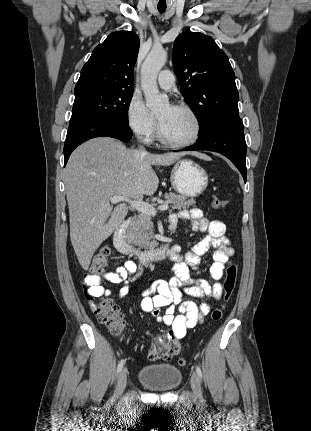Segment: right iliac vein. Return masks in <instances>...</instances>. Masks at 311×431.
Here are the masks:
<instances>
[{
  "label": "right iliac vein",
  "instance_id": "right-iliac-vein-1",
  "mask_svg": "<svg viewBox=\"0 0 311 431\" xmlns=\"http://www.w3.org/2000/svg\"><path fill=\"white\" fill-rule=\"evenodd\" d=\"M126 383H127V368H124L121 371L119 378H118V381H117V386H116V390H115V397L116 398H119L122 395V393L126 387Z\"/></svg>",
  "mask_w": 311,
  "mask_h": 431
}]
</instances>
